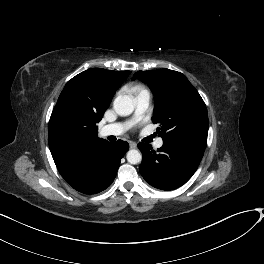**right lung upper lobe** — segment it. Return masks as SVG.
I'll list each match as a JSON object with an SVG mask.
<instances>
[{
  "label": "right lung upper lobe",
  "mask_w": 264,
  "mask_h": 264,
  "mask_svg": "<svg viewBox=\"0 0 264 264\" xmlns=\"http://www.w3.org/2000/svg\"><path fill=\"white\" fill-rule=\"evenodd\" d=\"M130 73L96 68L83 71L67 82L48 126V143L58 170L106 141L97 136V123Z\"/></svg>",
  "instance_id": "1"
}]
</instances>
